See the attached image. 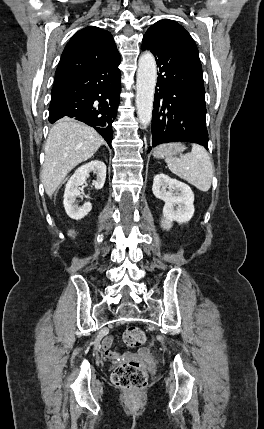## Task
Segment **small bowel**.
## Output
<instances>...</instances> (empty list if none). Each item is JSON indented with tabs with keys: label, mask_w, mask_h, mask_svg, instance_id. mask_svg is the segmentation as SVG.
<instances>
[{
	"label": "small bowel",
	"mask_w": 264,
	"mask_h": 429,
	"mask_svg": "<svg viewBox=\"0 0 264 429\" xmlns=\"http://www.w3.org/2000/svg\"><path fill=\"white\" fill-rule=\"evenodd\" d=\"M112 343H113V338L111 336H108L103 340L102 347H103L106 355L110 359H117V358H119V353L111 350ZM143 355H144L143 351L138 353V356H143ZM132 357H134V354L126 353V354L122 355V358L126 359V360L130 359Z\"/></svg>",
	"instance_id": "1"
}]
</instances>
